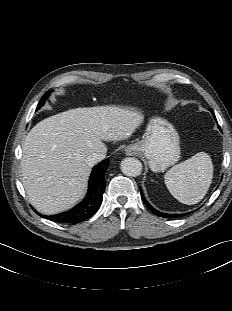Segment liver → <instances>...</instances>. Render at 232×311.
<instances>
[{"label": "liver", "mask_w": 232, "mask_h": 311, "mask_svg": "<svg viewBox=\"0 0 232 311\" xmlns=\"http://www.w3.org/2000/svg\"><path fill=\"white\" fill-rule=\"evenodd\" d=\"M143 116L115 106L75 108L36 124L23 143L22 181L30 203L43 214L71 208L84 195L93 153L103 141L128 139Z\"/></svg>", "instance_id": "1"}]
</instances>
